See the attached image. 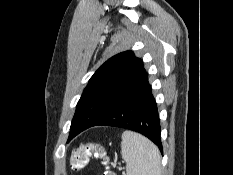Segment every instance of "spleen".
<instances>
[{
    "instance_id": "3e777b00",
    "label": "spleen",
    "mask_w": 233,
    "mask_h": 175,
    "mask_svg": "<svg viewBox=\"0 0 233 175\" xmlns=\"http://www.w3.org/2000/svg\"><path fill=\"white\" fill-rule=\"evenodd\" d=\"M121 155L127 175H161V156L155 144L133 131H124Z\"/></svg>"
}]
</instances>
